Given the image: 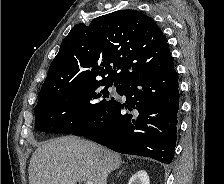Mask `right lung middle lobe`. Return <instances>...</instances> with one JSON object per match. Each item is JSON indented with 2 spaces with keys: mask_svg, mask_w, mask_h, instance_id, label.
I'll return each mask as SVG.
<instances>
[{
  "mask_svg": "<svg viewBox=\"0 0 224 184\" xmlns=\"http://www.w3.org/2000/svg\"><path fill=\"white\" fill-rule=\"evenodd\" d=\"M111 85L101 82L75 85L37 103L34 109L36 129L70 134L94 121L115 101L108 90ZM114 86L119 93L121 85Z\"/></svg>",
  "mask_w": 224,
  "mask_h": 184,
  "instance_id": "right-lung-middle-lobe-1",
  "label": "right lung middle lobe"
}]
</instances>
